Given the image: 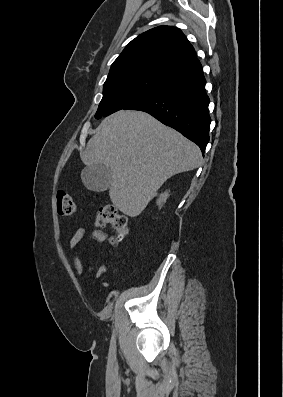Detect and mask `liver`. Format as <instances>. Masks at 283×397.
Here are the masks:
<instances>
[{
    "mask_svg": "<svg viewBox=\"0 0 283 397\" xmlns=\"http://www.w3.org/2000/svg\"><path fill=\"white\" fill-rule=\"evenodd\" d=\"M80 156L87 166L111 169L110 199L130 217L141 214L168 178L202 163L196 144L151 115L131 110L106 117Z\"/></svg>",
    "mask_w": 283,
    "mask_h": 397,
    "instance_id": "obj_1",
    "label": "liver"
}]
</instances>
